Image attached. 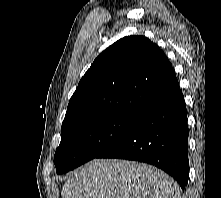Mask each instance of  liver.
I'll use <instances>...</instances> for the list:
<instances>
[{"label":"liver","instance_id":"1","mask_svg":"<svg viewBox=\"0 0 221 198\" xmlns=\"http://www.w3.org/2000/svg\"><path fill=\"white\" fill-rule=\"evenodd\" d=\"M62 198H181L169 175L144 163L94 159L74 171L63 185Z\"/></svg>","mask_w":221,"mask_h":198}]
</instances>
